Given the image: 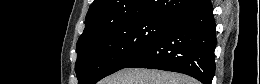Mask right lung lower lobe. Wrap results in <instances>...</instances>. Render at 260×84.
<instances>
[{"instance_id": "obj_1", "label": "right lung lower lobe", "mask_w": 260, "mask_h": 84, "mask_svg": "<svg viewBox=\"0 0 260 84\" xmlns=\"http://www.w3.org/2000/svg\"><path fill=\"white\" fill-rule=\"evenodd\" d=\"M216 44L211 1L201 0L175 16L155 42L127 67L184 73L211 84Z\"/></svg>"}]
</instances>
